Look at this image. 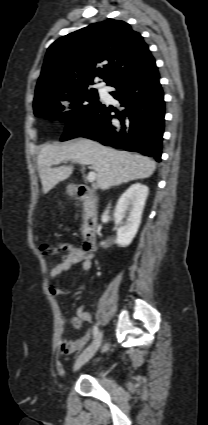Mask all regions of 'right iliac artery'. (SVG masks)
<instances>
[{
	"mask_svg": "<svg viewBox=\"0 0 208 425\" xmlns=\"http://www.w3.org/2000/svg\"><path fill=\"white\" fill-rule=\"evenodd\" d=\"M98 327L96 325L93 326V337L96 338L98 336Z\"/></svg>",
	"mask_w": 208,
	"mask_h": 425,
	"instance_id": "1",
	"label": "right iliac artery"
}]
</instances>
